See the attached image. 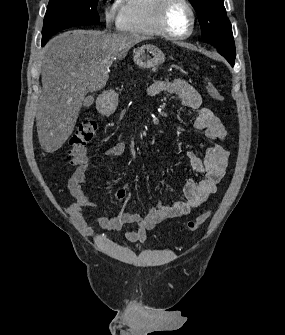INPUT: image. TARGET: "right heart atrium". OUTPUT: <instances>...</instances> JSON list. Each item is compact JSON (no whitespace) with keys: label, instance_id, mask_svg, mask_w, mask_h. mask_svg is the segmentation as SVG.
I'll list each match as a JSON object with an SVG mask.
<instances>
[{"label":"right heart atrium","instance_id":"1","mask_svg":"<svg viewBox=\"0 0 285 335\" xmlns=\"http://www.w3.org/2000/svg\"><path fill=\"white\" fill-rule=\"evenodd\" d=\"M102 16L105 24L107 26H111L118 20V13L117 9L115 7H111L110 5H107L102 10Z\"/></svg>","mask_w":285,"mask_h":335}]
</instances>
